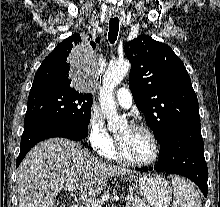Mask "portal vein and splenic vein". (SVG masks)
Instances as JSON below:
<instances>
[{
	"instance_id": "1",
	"label": "portal vein and splenic vein",
	"mask_w": 220,
	"mask_h": 207,
	"mask_svg": "<svg viewBox=\"0 0 220 207\" xmlns=\"http://www.w3.org/2000/svg\"><path fill=\"white\" fill-rule=\"evenodd\" d=\"M67 190L71 193V195H74L76 197V186L74 184H69L67 185ZM79 199L83 201V203L87 206V207H101V205L99 204L98 201H95L93 199H89L84 195H80ZM126 201H131L133 200V197H129L127 196V198H125Z\"/></svg>"
}]
</instances>
